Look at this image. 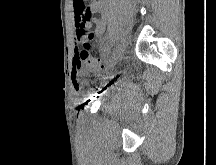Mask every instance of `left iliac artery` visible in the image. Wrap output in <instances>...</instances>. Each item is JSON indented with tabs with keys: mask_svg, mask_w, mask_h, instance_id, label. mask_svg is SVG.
Returning a JSON list of instances; mask_svg holds the SVG:
<instances>
[{
	"mask_svg": "<svg viewBox=\"0 0 216 165\" xmlns=\"http://www.w3.org/2000/svg\"><path fill=\"white\" fill-rule=\"evenodd\" d=\"M111 46V44H107L106 45V47H105V49H104V51H103V56H106V55H108L109 54V51H110V47Z\"/></svg>",
	"mask_w": 216,
	"mask_h": 165,
	"instance_id": "1",
	"label": "left iliac artery"
}]
</instances>
